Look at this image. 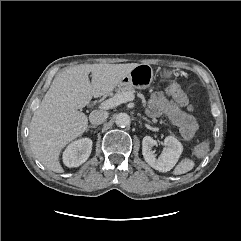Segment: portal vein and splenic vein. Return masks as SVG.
<instances>
[{
    "mask_svg": "<svg viewBox=\"0 0 241 241\" xmlns=\"http://www.w3.org/2000/svg\"><path fill=\"white\" fill-rule=\"evenodd\" d=\"M134 98H135V96L132 92L118 94V95H115L114 97L109 98V99L105 100L104 102H102L99 105V108L103 109V110L112 109L122 103H126L128 101H133Z\"/></svg>",
    "mask_w": 241,
    "mask_h": 241,
    "instance_id": "18ae733b",
    "label": "portal vein and splenic vein"
}]
</instances>
